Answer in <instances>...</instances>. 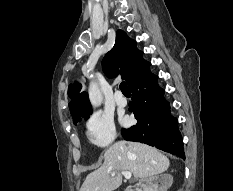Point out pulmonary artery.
<instances>
[{"mask_svg":"<svg viewBox=\"0 0 233 191\" xmlns=\"http://www.w3.org/2000/svg\"><path fill=\"white\" fill-rule=\"evenodd\" d=\"M115 101L116 104L120 107H124L127 105V99L123 96V94L119 90L115 92Z\"/></svg>","mask_w":233,"mask_h":191,"instance_id":"obj_1","label":"pulmonary artery"}]
</instances>
